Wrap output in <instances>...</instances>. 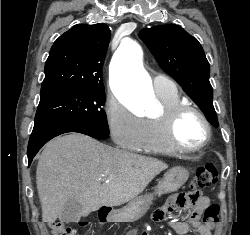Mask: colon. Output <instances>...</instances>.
Instances as JSON below:
<instances>
[{
  "label": "colon",
  "mask_w": 250,
  "mask_h": 235,
  "mask_svg": "<svg viewBox=\"0 0 250 235\" xmlns=\"http://www.w3.org/2000/svg\"><path fill=\"white\" fill-rule=\"evenodd\" d=\"M217 170L214 165H205L197 169L192 180L191 190L182 197V201L194 204L200 197V192L211 188L217 182ZM219 207L216 204L208 206L203 215V222L207 225H215L218 222ZM51 235H76L73 227L61 221L47 223Z\"/></svg>",
  "instance_id": "5ec220e1"
}]
</instances>
